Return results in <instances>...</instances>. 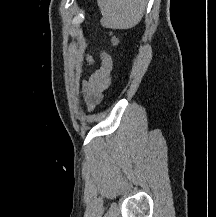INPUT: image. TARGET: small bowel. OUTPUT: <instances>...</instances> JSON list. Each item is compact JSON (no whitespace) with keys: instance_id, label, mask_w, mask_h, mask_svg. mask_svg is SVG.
<instances>
[{"instance_id":"obj_1","label":"small bowel","mask_w":216,"mask_h":217,"mask_svg":"<svg viewBox=\"0 0 216 217\" xmlns=\"http://www.w3.org/2000/svg\"><path fill=\"white\" fill-rule=\"evenodd\" d=\"M85 64L91 67L94 58L87 54ZM112 59L104 51L100 52V67L82 82V94L89 110L94 109L103 98L105 90L111 82Z\"/></svg>"}]
</instances>
